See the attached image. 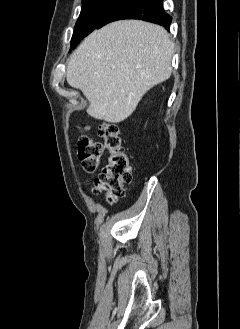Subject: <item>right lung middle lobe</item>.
<instances>
[{
	"label": "right lung middle lobe",
	"instance_id": "1",
	"mask_svg": "<svg viewBox=\"0 0 240 329\" xmlns=\"http://www.w3.org/2000/svg\"><path fill=\"white\" fill-rule=\"evenodd\" d=\"M120 0H82V9L80 17L76 22L71 40V48L91 33L101 19L119 2Z\"/></svg>",
	"mask_w": 240,
	"mask_h": 329
}]
</instances>
